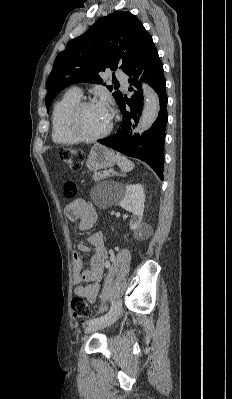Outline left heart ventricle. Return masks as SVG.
Returning <instances> with one entry per match:
<instances>
[{"instance_id": "obj_1", "label": "left heart ventricle", "mask_w": 232, "mask_h": 399, "mask_svg": "<svg viewBox=\"0 0 232 399\" xmlns=\"http://www.w3.org/2000/svg\"><path fill=\"white\" fill-rule=\"evenodd\" d=\"M110 122L102 106L94 104L81 111L77 119V128L81 134L94 137L104 133Z\"/></svg>"}]
</instances>
